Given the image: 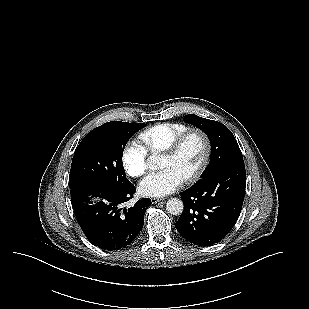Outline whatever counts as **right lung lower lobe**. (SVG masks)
Segmentation results:
<instances>
[{
  "mask_svg": "<svg viewBox=\"0 0 309 309\" xmlns=\"http://www.w3.org/2000/svg\"><path fill=\"white\" fill-rule=\"evenodd\" d=\"M135 193L129 183L123 188L89 184L71 189V203L87 239L104 250H119L131 244L144 224L151 200H138L133 207L120 208Z\"/></svg>",
  "mask_w": 309,
  "mask_h": 309,
  "instance_id": "1",
  "label": "right lung lower lobe"
}]
</instances>
